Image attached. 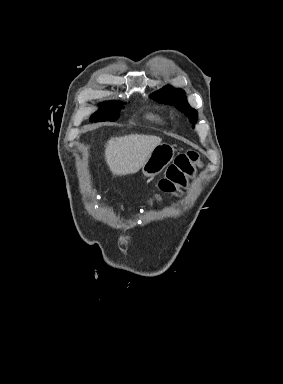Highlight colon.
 Segmentation results:
<instances>
[{"label":"colon","instance_id":"1","mask_svg":"<svg viewBox=\"0 0 283 384\" xmlns=\"http://www.w3.org/2000/svg\"><path fill=\"white\" fill-rule=\"evenodd\" d=\"M198 166L199 155L197 152L190 150L179 154L174 163L169 166L166 176L160 180V191L163 194H171L178 188L184 187Z\"/></svg>","mask_w":283,"mask_h":384}]
</instances>
